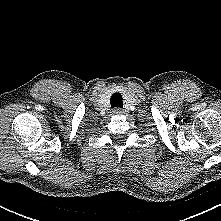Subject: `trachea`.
Masks as SVG:
<instances>
[{
    "label": "trachea",
    "instance_id": "obj_1",
    "mask_svg": "<svg viewBox=\"0 0 221 221\" xmlns=\"http://www.w3.org/2000/svg\"><path fill=\"white\" fill-rule=\"evenodd\" d=\"M122 96L119 93H115L111 96V106L112 107H123Z\"/></svg>",
    "mask_w": 221,
    "mask_h": 221
}]
</instances>
